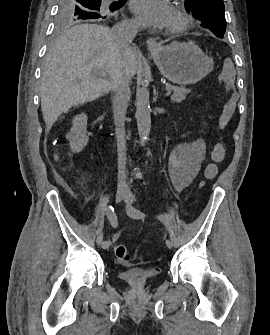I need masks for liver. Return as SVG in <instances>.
I'll return each mask as SVG.
<instances>
[{
  "label": "liver",
  "instance_id": "1",
  "mask_svg": "<svg viewBox=\"0 0 270 335\" xmlns=\"http://www.w3.org/2000/svg\"><path fill=\"white\" fill-rule=\"evenodd\" d=\"M107 72L136 74L133 48L118 46L112 30L98 24H80L66 30L48 48L41 78V110L51 126L72 106L91 102L112 88V82L95 78Z\"/></svg>",
  "mask_w": 270,
  "mask_h": 335
}]
</instances>
